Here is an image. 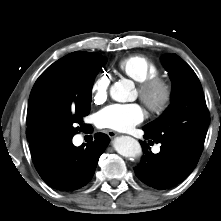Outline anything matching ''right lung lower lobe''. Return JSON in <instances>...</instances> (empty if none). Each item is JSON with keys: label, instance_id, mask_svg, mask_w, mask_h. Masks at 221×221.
<instances>
[{"label": "right lung lower lobe", "instance_id": "obj_1", "mask_svg": "<svg viewBox=\"0 0 221 221\" xmlns=\"http://www.w3.org/2000/svg\"><path fill=\"white\" fill-rule=\"evenodd\" d=\"M94 138V142L86 147H75L71 140L31 150L40 177L50 187L62 191H72L86 185L110 141L103 133H96Z\"/></svg>", "mask_w": 221, "mask_h": 221}]
</instances>
